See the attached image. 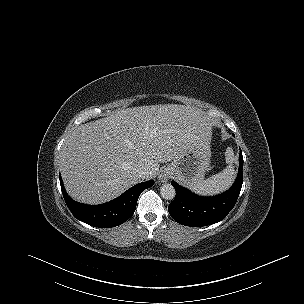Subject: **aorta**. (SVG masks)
<instances>
[{
  "label": "aorta",
  "mask_w": 304,
  "mask_h": 304,
  "mask_svg": "<svg viewBox=\"0 0 304 304\" xmlns=\"http://www.w3.org/2000/svg\"><path fill=\"white\" fill-rule=\"evenodd\" d=\"M160 194L166 200H173L176 196V190L171 184H163L160 188Z\"/></svg>",
  "instance_id": "1"
}]
</instances>
